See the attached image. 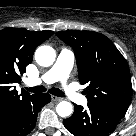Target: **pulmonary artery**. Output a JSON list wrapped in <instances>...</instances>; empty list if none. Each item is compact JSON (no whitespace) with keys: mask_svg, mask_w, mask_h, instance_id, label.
I'll return each instance as SVG.
<instances>
[{"mask_svg":"<svg viewBox=\"0 0 136 136\" xmlns=\"http://www.w3.org/2000/svg\"><path fill=\"white\" fill-rule=\"evenodd\" d=\"M74 64V54L71 50L63 48L54 65L44 73L40 78L29 80L27 84L29 86L39 85L41 83H53L56 81H61L63 83V88L66 96L73 102L81 105L87 104V99L71 88L66 81L69 77V73Z\"/></svg>","mask_w":136,"mask_h":136,"instance_id":"pulmonary-artery-1","label":"pulmonary artery"}]
</instances>
